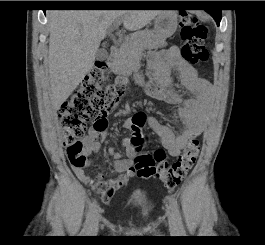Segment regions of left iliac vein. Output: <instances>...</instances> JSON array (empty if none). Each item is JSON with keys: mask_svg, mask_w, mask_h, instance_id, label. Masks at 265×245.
Returning <instances> with one entry per match:
<instances>
[{"mask_svg": "<svg viewBox=\"0 0 265 245\" xmlns=\"http://www.w3.org/2000/svg\"><path fill=\"white\" fill-rule=\"evenodd\" d=\"M168 223H169L170 232L175 234L177 231V225L172 212H168Z\"/></svg>", "mask_w": 265, "mask_h": 245, "instance_id": "obj_1", "label": "left iliac vein"}]
</instances>
